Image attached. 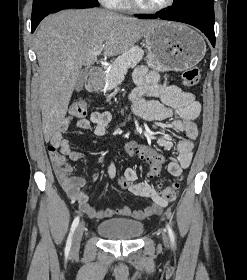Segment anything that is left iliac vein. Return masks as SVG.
Here are the masks:
<instances>
[{
	"label": "left iliac vein",
	"mask_w": 247,
	"mask_h": 280,
	"mask_svg": "<svg viewBox=\"0 0 247 280\" xmlns=\"http://www.w3.org/2000/svg\"><path fill=\"white\" fill-rule=\"evenodd\" d=\"M162 239L166 247L169 246V239L165 231H162Z\"/></svg>",
	"instance_id": "4c4485c4"
}]
</instances>
